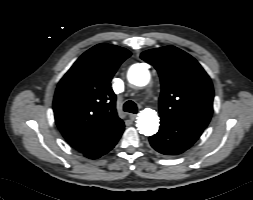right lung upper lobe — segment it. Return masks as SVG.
<instances>
[{"mask_svg":"<svg viewBox=\"0 0 253 200\" xmlns=\"http://www.w3.org/2000/svg\"><path fill=\"white\" fill-rule=\"evenodd\" d=\"M130 55L125 48L98 44L82 54L60 80L53 101L55 122L78 151L99 148L124 130L110 81Z\"/></svg>","mask_w":253,"mask_h":200,"instance_id":"right-lung-upper-lobe-1","label":"right lung upper lobe"}]
</instances>
